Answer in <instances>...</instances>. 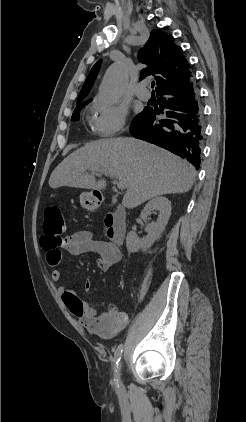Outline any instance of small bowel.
Segmentation results:
<instances>
[{"instance_id":"1","label":"small bowel","mask_w":246,"mask_h":422,"mask_svg":"<svg viewBox=\"0 0 246 422\" xmlns=\"http://www.w3.org/2000/svg\"><path fill=\"white\" fill-rule=\"evenodd\" d=\"M41 246L46 251V260L53 268L51 278L53 282H58L62 278V271L58 265L62 259V252L73 256L94 252L98 254L96 265L102 271H107L121 258L119 249L111 242L97 239L91 231L80 230L71 235L61 238L58 235L45 234L41 237ZM91 287L87 280L85 290ZM59 294L67 309L79 320V322L91 333L102 337H112L128 323V317L114 306L108 307L105 312H101L96 306L81 301L73 290L65 286L59 287Z\"/></svg>"}]
</instances>
